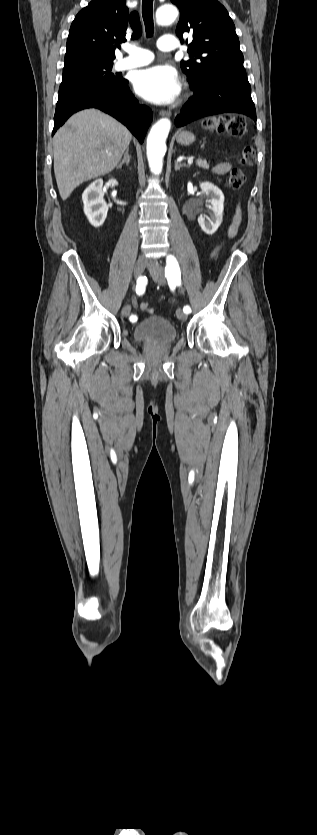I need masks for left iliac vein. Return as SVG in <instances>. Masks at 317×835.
Masks as SVG:
<instances>
[{"label": "left iliac vein", "mask_w": 317, "mask_h": 835, "mask_svg": "<svg viewBox=\"0 0 317 835\" xmlns=\"http://www.w3.org/2000/svg\"><path fill=\"white\" fill-rule=\"evenodd\" d=\"M148 270L153 278V280L159 285H165L166 279L164 276L163 267L157 261H151L148 265ZM176 316L179 320H186L187 315L181 309L176 311Z\"/></svg>", "instance_id": "obj_1"}]
</instances>
